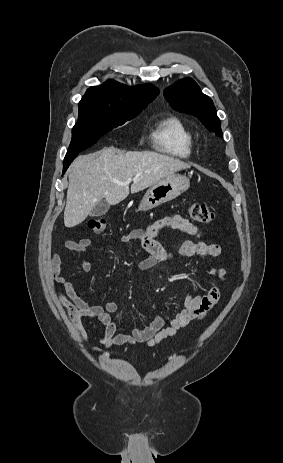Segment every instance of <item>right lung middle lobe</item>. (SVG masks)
<instances>
[{"instance_id": "1", "label": "right lung middle lobe", "mask_w": 283, "mask_h": 463, "mask_svg": "<svg viewBox=\"0 0 283 463\" xmlns=\"http://www.w3.org/2000/svg\"><path fill=\"white\" fill-rule=\"evenodd\" d=\"M147 105L82 99L78 122L72 129V140L66 156L92 146L108 131L135 118Z\"/></svg>"}]
</instances>
